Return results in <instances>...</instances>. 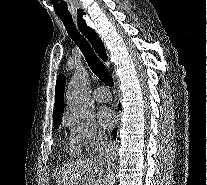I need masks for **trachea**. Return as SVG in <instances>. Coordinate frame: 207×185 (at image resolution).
Listing matches in <instances>:
<instances>
[{
    "instance_id": "trachea-1",
    "label": "trachea",
    "mask_w": 207,
    "mask_h": 185,
    "mask_svg": "<svg viewBox=\"0 0 207 185\" xmlns=\"http://www.w3.org/2000/svg\"><path fill=\"white\" fill-rule=\"evenodd\" d=\"M59 18L64 23L68 35L81 49L91 70L95 73V75H97V77L100 78V80H102V82L106 83V85H109V87H113L114 83L110 76V73L108 72L105 65L101 62V60L97 57V55L93 52V49L86 40V38H88L89 42L92 44L94 50H96L99 57L102 60L106 61L107 53L103 42L101 41L97 33L93 30V28H90L86 24V22L83 23V29L78 31L73 19L61 16H59Z\"/></svg>"
}]
</instances>
